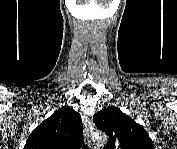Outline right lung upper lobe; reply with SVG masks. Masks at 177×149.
<instances>
[{
  "label": "right lung upper lobe",
  "instance_id": "cb5924a9",
  "mask_svg": "<svg viewBox=\"0 0 177 149\" xmlns=\"http://www.w3.org/2000/svg\"><path fill=\"white\" fill-rule=\"evenodd\" d=\"M83 143V124L79 113L68 106L53 113L35 128L25 149H75Z\"/></svg>",
  "mask_w": 177,
  "mask_h": 149
}]
</instances>
